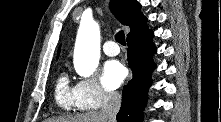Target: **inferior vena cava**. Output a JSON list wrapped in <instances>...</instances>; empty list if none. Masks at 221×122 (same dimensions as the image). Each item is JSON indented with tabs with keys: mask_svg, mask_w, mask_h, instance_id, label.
Segmentation results:
<instances>
[{
	"mask_svg": "<svg viewBox=\"0 0 221 122\" xmlns=\"http://www.w3.org/2000/svg\"><path fill=\"white\" fill-rule=\"evenodd\" d=\"M121 107V95L117 92L106 93V103L101 110L104 118L108 122H116V115Z\"/></svg>",
	"mask_w": 221,
	"mask_h": 122,
	"instance_id": "1",
	"label": "inferior vena cava"
}]
</instances>
